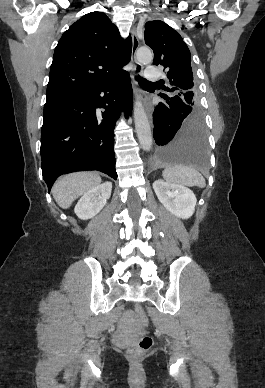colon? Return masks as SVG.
Instances as JSON below:
<instances>
[{
    "label": "colon",
    "mask_w": 265,
    "mask_h": 388,
    "mask_svg": "<svg viewBox=\"0 0 265 388\" xmlns=\"http://www.w3.org/2000/svg\"><path fill=\"white\" fill-rule=\"evenodd\" d=\"M135 313L138 318V321L142 327L148 325V316L146 311L141 303L135 305ZM153 340L150 336H142L137 343L131 348V353L137 355L141 352L147 351L151 348Z\"/></svg>",
    "instance_id": "obj_1"
}]
</instances>
